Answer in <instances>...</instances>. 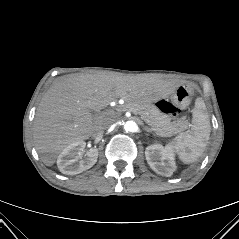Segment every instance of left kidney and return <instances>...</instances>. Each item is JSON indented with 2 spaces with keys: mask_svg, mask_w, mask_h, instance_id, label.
I'll return each mask as SVG.
<instances>
[{
  "mask_svg": "<svg viewBox=\"0 0 239 239\" xmlns=\"http://www.w3.org/2000/svg\"><path fill=\"white\" fill-rule=\"evenodd\" d=\"M171 145L153 144L146 148L147 163L157 174L169 177L176 170L175 153Z\"/></svg>",
  "mask_w": 239,
  "mask_h": 239,
  "instance_id": "left-kidney-1",
  "label": "left kidney"
}]
</instances>
